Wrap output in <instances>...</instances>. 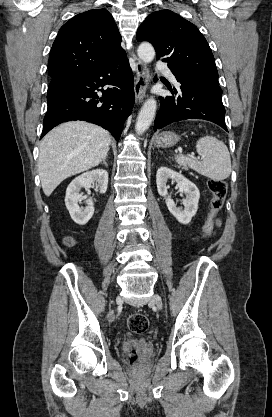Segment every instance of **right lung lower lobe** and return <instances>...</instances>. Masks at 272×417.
<instances>
[{"label": "right lung lower lobe", "instance_id": "98d812e1", "mask_svg": "<svg viewBox=\"0 0 272 417\" xmlns=\"http://www.w3.org/2000/svg\"><path fill=\"white\" fill-rule=\"evenodd\" d=\"M133 87L125 52L96 70L51 80L41 138L62 122L84 120L100 125L119 141L134 106Z\"/></svg>", "mask_w": 272, "mask_h": 417}]
</instances>
